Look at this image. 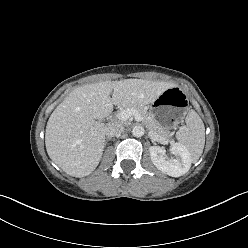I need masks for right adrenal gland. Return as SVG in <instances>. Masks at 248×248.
<instances>
[{"label":"right adrenal gland","mask_w":248,"mask_h":248,"mask_svg":"<svg viewBox=\"0 0 248 248\" xmlns=\"http://www.w3.org/2000/svg\"><path fill=\"white\" fill-rule=\"evenodd\" d=\"M110 140V138H106V141H105V145L107 144V142Z\"/></svg>","instance_id":"1"}]
</instances>
